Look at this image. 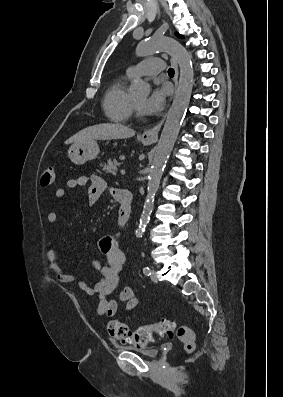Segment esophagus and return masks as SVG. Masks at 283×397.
I'll use <instances>...</instances> for the list:
<instances>
[{
    "mask_svg": "<svg viewBox=\"0 0 283 397\" xmlns=\"http://www.w3.org/2000/svg\"><path fill=\"white\" fill-rule=\"evenodd\" d=\"M171 64H172V66L174 68V71H175L174 83H175V90H176L177 85H178V63H177V60H176L175 57H171ZM165 118H166V115L163 117V119L157 125H155L154 127L146 130L142 134L141 138H142V140L144 142L152 143V142H155L158 139V134H159V131H160V129H161L163 123H164Z\"/></svg>",
    "mask_w": 283,
    "mask_h": 397,
    "instance_id": "obj_1",
    "label": "esophagus"
}]
</instances>
